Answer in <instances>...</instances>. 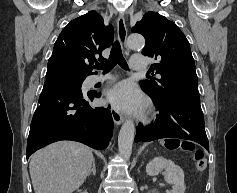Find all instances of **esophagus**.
Listing matches in <instances>:
<instances>
[{
    "label": "esophagus",
    "instance_id": "esophagus-1",
    "mask_svg": "<svg viewBox=\"0 0 237 193\" xmlns=\"http://www.w3.org/2000/svg\"><path fill=\"white\" fill-rule=\"evenodd\" d=\"M117 34H118V39L122 46V49L125 52H127L128 51L127 44H126L127 28H126L124 16L122 14H120L117 19ZM111 114H112L113 121L116 125H120L124 121V116L115 108H112Z\"/></svg>",
    "mask_w": 237,
    "mask_h": 193
}]
</instances>
